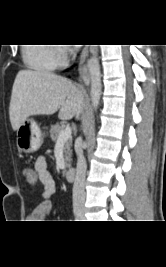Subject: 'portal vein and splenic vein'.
<instances>
[{
	"mask_svg": "<svg viewBox=\"0 0 166 267\" xmlns=\"http://www.w3.org/2000/svg\"><path fill=\"white\" fill-rule=\"evenodd\" d=\"M72 134V129L71 127H66L63 131L60 132L57 143H63L66 142Z\"/></svg>",
	"mask_w": 166,
	"mask_h": 267,
	"instance_id": "portal-vein-and-splenic-vein-1",
	"label": "portal vein and splenic vein"
}]
</instances>
